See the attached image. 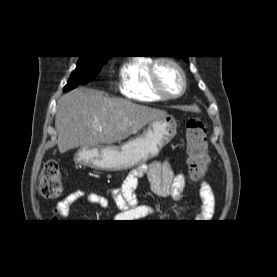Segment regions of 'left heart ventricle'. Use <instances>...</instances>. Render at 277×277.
<instances>
[{
    "label": "left heart ventricle",
    "instance_id": "obj_1",
    "mask_svg": "<svg viewBox=\"0 0 277 277\" xmlns=\"http://www.w3.org/2000/svg\"><path fill=\"white\" fill-rule=\"evenodd\" d=\"M157 72L160 84L166 93L176 94L181 90L182 80L173 66L167 63H160Z\"/></svg>",
    "mask_w": 277,
    "mask_h": 277
}]
</instances>
